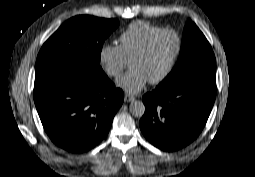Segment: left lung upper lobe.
<instances>
[{"label": "left lung upper lobe", "instance_id": "left-lung-upper-lobe-1", "mask_svg": "<svg viewBox=\"0 0 255 177\" xmlns=\"http://www.w3.org/2000/svg\"><path fill=\"white\" fill-rule=\"evenodd\" d=\"M215 68V56L209 42L199 28L189 20L184 28L179 59L170 74L159 85L172 83L200 70Z\"/></svg>", "mask_w": 255, "mask_h": 177}]
</instances>
